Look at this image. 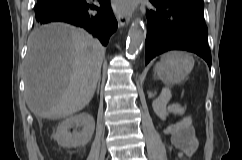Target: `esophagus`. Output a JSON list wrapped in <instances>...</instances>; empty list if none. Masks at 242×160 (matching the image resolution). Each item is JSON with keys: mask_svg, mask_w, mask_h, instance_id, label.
<instances>
[{"mask_svg": "<svg viewBox=\"0 0 242 160\" xmlns=\"http://www.w3.org/2000/svg\"><path fill=\"white\" fill-rule=\"evenodd\" d=\"M131 19L128 16L117 14V22L119 26H126L130 23Z\"/></svg>", "mask_w": 242, "mask_h": 160, "instance_id": "obj_1", "label": "esophagus"}]
</instances>
